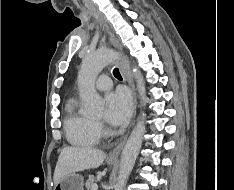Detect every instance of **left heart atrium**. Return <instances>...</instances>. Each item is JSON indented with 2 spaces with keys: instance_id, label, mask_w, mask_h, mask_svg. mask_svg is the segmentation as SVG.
Here are the masks:
<instances>
[{
  "instance_id": "1",
  "label": "left heart atrium",
  "mask_w": 234,
  "mask_h": 190,
  "mask_svg": "<svg viewBox=\"0 0 234 190\" xmlns=\"http://www.w3.org/2000/svg\"><path fill=\"white\" fill-rule=\"evenodd\" d=\"M106 121L112 126L124 125L131 114L132 102L129 93L124 89H118L105 96Z\"/></svg>"
}]
</instances>
